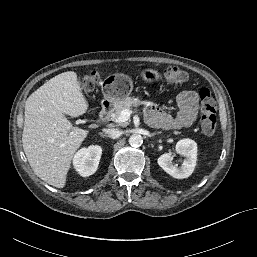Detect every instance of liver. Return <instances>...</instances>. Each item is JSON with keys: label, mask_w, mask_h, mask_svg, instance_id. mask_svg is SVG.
Instances as JSON below:
<instances>
[{"label": "liver", "mask_w": 257, "mask_h": 257, "mask_svg": "<svg viewBox=\"0 0 257 257\" xmlns=\"http://www.w3.org/2000/svg\"><path fill=\"white\" fill-rule=\"evenodd\" d=\"M74 71L61 73L33 92L25 103L23 149L34 173L57 188L66 184L72 158L88 135L65 115L78 117L89 105Z\"/></svg>", "instance_id": "6515ba94"}]
</instances>
